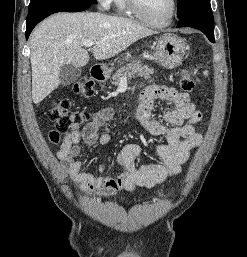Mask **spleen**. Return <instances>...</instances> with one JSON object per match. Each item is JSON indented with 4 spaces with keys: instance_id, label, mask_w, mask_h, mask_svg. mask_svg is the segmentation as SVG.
I'll return each instance as SVG.
<instances>
[{
    "instance_id": "spleen-1",
    "label": "spleen",
    "mask_w": 247,
    "mask_h": 257,
    "mask_svg": "<svg viewBox=\"0 0 247 257\" xmlns=\"http://www.w3.org/2000/svg\"><path fill=\"white\" fill-rule=\"evenodd\" d=\"M204 75H208V72H207V71H205V72H204Z\"/></svg>"
}]
</instances>
